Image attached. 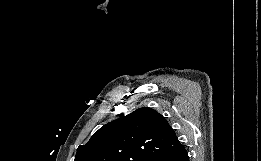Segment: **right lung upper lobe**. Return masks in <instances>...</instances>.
Masks as SVG:
<instances>
[{
	"label": "right lung upper lobe",
	"instance_id": "obj_1",
	"mask_svg": "<svg viewBox=\"0 0 261 161\" xmlns=\"http://www.w3.org/2000/svg\"><path fill=\"white\" fill-rule=\"evenodd\" d=\"M182 147L166 119L142 107L101 127L74 161H152Z\"/></svg>",
	"mask_w": 261,
	"mask_h": 161
}]
</instances>
